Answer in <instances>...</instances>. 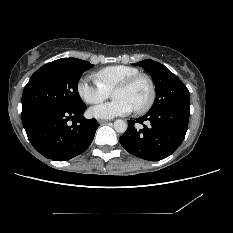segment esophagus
<instances>
[{
	"label": "esophagus",
	"mask_w": 233,
	"mask_h": 233,
	"mask_svg": "<svg viewBox=\"0 0 233 233\" xmlns=\"http://www.w3.org/2000/svg\"><path fill=\"white\" fill-rule=\"evenodd\" d=\"M110 122H111L110 120H103V119L98 120L99 124H107V123H110Z\"/></svg>",
	"instance_id": "34e87169"
}]
</instances>
